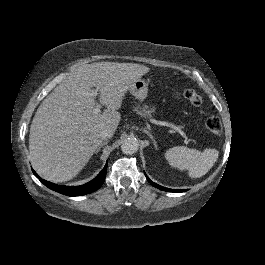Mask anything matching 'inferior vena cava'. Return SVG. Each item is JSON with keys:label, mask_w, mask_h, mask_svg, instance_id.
<instances>
[{"label": "inferior vena cava", "mask_w": 265, "mask_h": 265, "mask_svg": "<svg viewBox=\"0 0 265 265\" xmlns=\"http://www.w3.org/2000/svg\"><path fill=\"white\" fill-rule=\"evenodd\" d=\"M99 136L101 139L106 140L108 138H111L113 136V131L110 129H104L100 131Z\"/></svg>", "instance_id": "1"}]
</instances>
